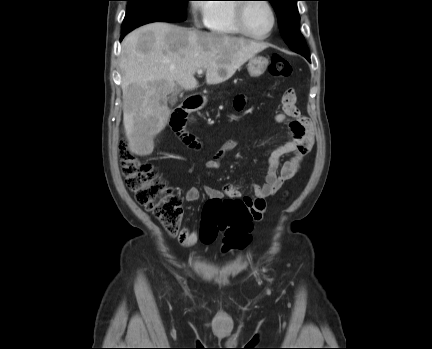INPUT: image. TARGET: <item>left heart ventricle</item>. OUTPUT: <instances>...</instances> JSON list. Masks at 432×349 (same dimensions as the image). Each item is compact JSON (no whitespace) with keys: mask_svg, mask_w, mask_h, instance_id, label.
<instances>
[{"mask_svg":"<svg viewBox=\"0 0 432 349\" xmlns=\"http://www.w3.org/2000/svg\"><path fill=\"white\" fill-rule=\"evenodd\" d=\"M248 29L256 35L266 34L272 25V15L269 8L261 2L252 3L246 10Z\"/></svg>","mask_w":432,"mask_h":349,"instance_id":"1","label":"left heart ventricle"}]
</instances>
